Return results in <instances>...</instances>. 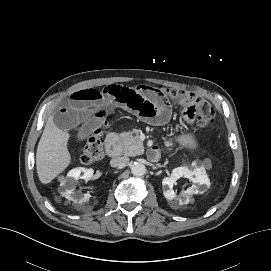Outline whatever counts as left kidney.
I'll return each mask as SVG.
<instances>
[{
    "mask_svg": "<svg viewBox=\"0 0 271 271\" xmlns=\"http://www.w3.org/2000/svg\"><path fill=\"white\" fill-rule=\"evenodd\" d=\"M181 177H185L193 183H198L201 187L209 184V179L203 168L189 169L187 167H177L172 170L169 177H165L162 181L163 194L167 200L176 199L179 205L188 204L192 193L196 186L189 187L180 196H177L173 190V184Z\"/></svg>",
    "mask_w": 271,
    "mask_h": 271,
    "instance_id": "5707ae66",
    "label": "left kidney"
}]
</instances>
